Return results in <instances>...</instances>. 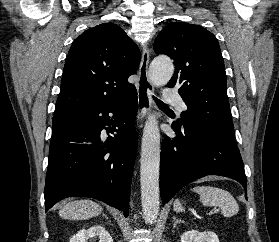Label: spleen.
<instances>
[{
	"instance_id": "3e777b00",
	"label": "spleen",
	"mask_w": 279,
	"mask_h": 242,
	"mask_svg": "<svg viewBox=\"0 0 279 242\" xmlns=\"http://www.w3.org/2000/svg\"><path fill=\"white\" fill-rule=\"evenodd\" d=\"M191 190L200 195V201L204 206H218L226 217H231L239 211L237 201L228 191L205 185L196 186ZM173 208L178 212L183 210L179 200L175 201Z\"/></svg>"
}]
</instances>
